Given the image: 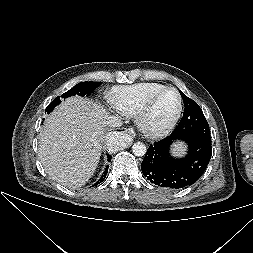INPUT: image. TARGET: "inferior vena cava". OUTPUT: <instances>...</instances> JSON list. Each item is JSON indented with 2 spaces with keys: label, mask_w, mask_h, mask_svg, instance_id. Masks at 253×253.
Returning <instances> with one entry per match:
<instances>
[{
  "label": "inferior vena cava",
  "mask_w": 253,
  "mask_h": 253,
  "mask_svg": "<svg viewBox=\"0 0 253 253\" xmlns=\"http://www.w3.org/2000/svg\"><path fill=\"white\" fill-rule=\"evenodd\" d=\"M106 125L109 127H120L122 126V122L117 116H108L106 119Z\"/></svg>",
  "instance_id": "inferior-vena-cava-1"
}]
</instances>
